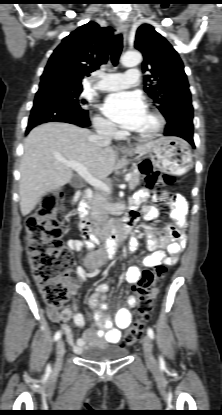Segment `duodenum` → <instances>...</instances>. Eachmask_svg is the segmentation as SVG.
Wrapping results in <instances>:
<instances>
[{
	"label": "duodenum",
	"mask_w": 222,
	"mask_h": 415,
	"mask_svg": "<svg viewBox=\"0 0 222 415\" xmlns=\"http://www.w3.org/2000/svg\"><path fill=\"white\" fill-rule=\"evenodd\" d=\"M81 191L83 192V198L79 203L78 209L82 217L81 229L87 232L88 243L93 245L98 239H100L106 244L108 250L113 253L117 249V243L120 238L125 236L131 230L134 220L127 216L119 224H116L110 231L92 228L91 223L88 221L91 193L89 190L85 189H81Z\"/></svg>",
	"instance_id": "410a0bca"
}]
</instances>
